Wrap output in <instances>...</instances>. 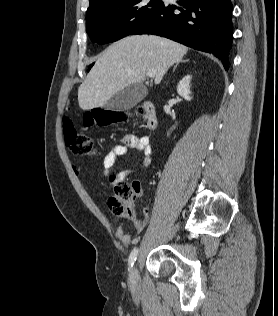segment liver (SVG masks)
I'll use <instances>...</instances> for the list:
<instances>
[{"label": "liver", "instance_id": "6515ba94", "mask_svg": "<svg viewBox=\"0 0 278 316\" xmlns=\"http://www.w3.org/2000/svg\"><path fill=\"white\" fill-rule=\"evenodd\" d=\"M188 48L155 35H134L108 47L79 86L81 109L102 107L116 93L139 84L151 69L156 71L158 85L166 71L182 60Z\"/></svg>", "mask_w": 278, "mask_h": 316}]
</instances>
